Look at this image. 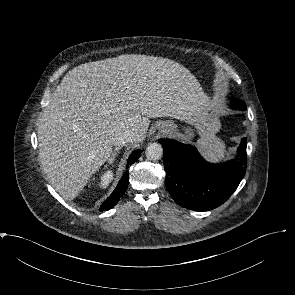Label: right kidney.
Masks as SVG:
<instances>
[{
	"label": "right kidney",
	"instance_id": "obj_1",
	"mask_svg": "<svg viewBox=\"0 0 295 295\" xmlns=\"http://www.w3.org/2000/svg\"><path fill=\"white\" fill-rule=\"evenodd\" d=\"M112 180H113V172L112 170H107L100 176L98 185L100 188L105 189L108 187V185L110 184Z\"/></svg>",
	"mask_w": 295,
	"mask_h": 295
}]
</instances>
